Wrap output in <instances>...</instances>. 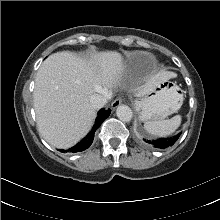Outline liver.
Wrapping results in <instances>:
<instances>
[{"instance_id":"6515ba94","label":"liver","mask_w":220,"mask_h":220,"mask_svg":"<svg viewBox=\"0 0 220 220\" xmlns=\"http://www.w3.org/2000/svg\"><path fill=\"white\" fill-rule=\"evenodd\" d=\"M123 56L116 51L94 53L89 60L62 51L40 66L33 93L38 130L51 145L67 149L90 129L95 108L90 98L118 81L124 71ZM172 73L154 75L140 94L152 91Z\"/></svg>"}]
</instances>
